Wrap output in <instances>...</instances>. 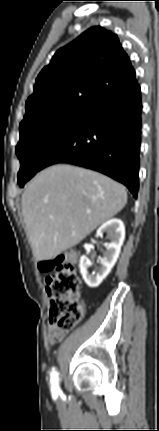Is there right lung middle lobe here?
I'll use <instances>...</instances> for the list:
<instances>
[{
    "label": "right lung middle lobe",
    "instance_id": "dd1d6c3e",
    "mask_svg": "<svg viewBox=\"0 0 159 431\" xmlns=\"http://www.w3.org/2000/svg\"><path fill=\"white\" fill-rule=\"evenodd\" d=\"M88 114L59 112L42 117L20 127V140L16 153L21 163L18 184L23 187L38 171L50 148Z\"/></svg>",
    "mask_w": 159,
    "mask_h": 431
}]
</instances>
